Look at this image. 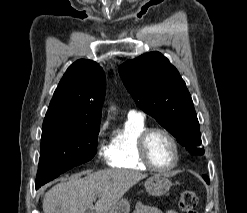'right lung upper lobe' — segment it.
<instances>
[{
	"label": "right lung upper lobe",
	"instance_id": "cb5924a9",
	"mask_svg": "<svg viewBox=\"0 0 247 213\" xmlns=\"http://www.w3.org/2000/svg\"><path fill=\"white\" fill-rule=\"evenodd\" d=\"M105 87L104 71L99 64L77 60L55 90L43 125L99 126Z\"/></svg>",
	"mask_w": 247,
	"mask_h": 213
}]
</instances>
